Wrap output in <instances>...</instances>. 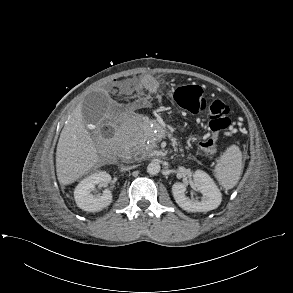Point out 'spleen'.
Listing matches in <instances>:
<instances>
[{
  "mask_svg": "<svg viewBox=\"0 0 293 293\" xmlns=\"http://www.w3.org/2000/svg\"><path fill=\"white\" fill-rule=\"evenodd\" d=\"M242 169V153L236 145L226 149L218 159L215 175L224 188H232L238 181Z\"/></svg>",
  "mask_w": 293,
  "mask_h": 293,
  "instance_id": "obj_1",
  "label": "spleen"
}]
</instances>
